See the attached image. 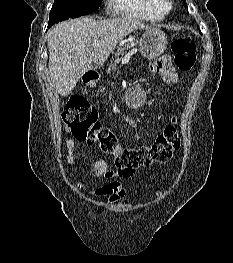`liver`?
I'll list each match as a JSON object with an SVG mask.
<instances>
[{
  "label": "liver",
  "instance_id": "6515ba94",
  "mask_svg": "<svg viewBox=\"0 0 233 263\" xmlns=\"http://www.w3.org/2000/svg\"><path fill=\"white\" fill-rule=\"evenodd\" d=\"M149 28L130 17L98 21L81 17L55 25L48 32V49L49 74L57 93L67 96L84 73L103 65L119 41Z\"/></svg>",
  "mask_w": 233,
  "mask_h": 263
}]
</instances>
